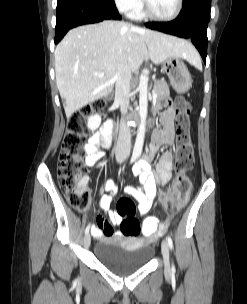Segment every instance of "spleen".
Listing matches in <instances>:
<instances>
[{"label":"spleen","instance_id":"3e777b00","mask_svg":"<svg viewBox=\"0 0 247 304\" xmlns=\"http://www.w3.org/2000/svg\"><path fill=\"white\" fill-rule=\"evenodd\" d=\"M195 67H197V68H201L202 67V65H201V61H200V58L199 57H197L195 60H193L192 62H191Z\"/></svg>","mask_w":247,"mask_h":304}]
</instances>
